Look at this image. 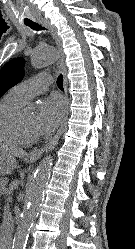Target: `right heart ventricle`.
Returning <instances> with one entry per match:
<instances>
[{
    "label": "right heart ventricle",
    "mask_w": 135,
    "mask_h": 249,
    "mask_svg": "<svg viewBox=\"0 0 135 249\" xmlns=\"http://www.w3.org/2000/svg\"><path fill=\"white\" fill-rule=\"evenodd\" d=\"M24 101L16 97L12 91L7 93L0 100V144L18 145L21 144L20 138L16 135L12 127V118L21 108Z\"/></svg>",
    "instance_id": "obj_1"
}]
</instances>
